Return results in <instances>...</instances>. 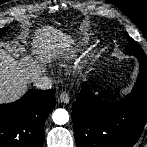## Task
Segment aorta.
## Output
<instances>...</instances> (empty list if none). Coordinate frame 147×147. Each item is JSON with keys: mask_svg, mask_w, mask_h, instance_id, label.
I'll return each instance as SVG.
<instances>
[{"mask_svg": "<svg viewBox=\"0 0 147 147\" xmlns=\"http://www.w3.org/2000/svg\"><path fill=\"white\" fill-rule=\"evenodd\" d=\"M52 120L57 125H64L69 121V114L65 109H56L52 115Z\"/></svg>", "mask_w": 147, "mask_h": 147, "instance_id": "762f6f07", "label": "aorta"}]
</instances>
